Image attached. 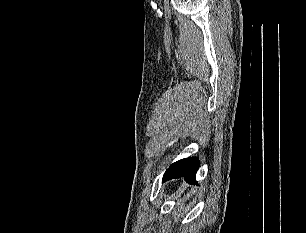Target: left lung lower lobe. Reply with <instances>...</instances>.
I'll use <instances>...</instances> for the list:
<instances>
[{"mask_svg":"<svg viewBox=\"0 0 306 233\" xmlns=\"http://www.w3.org/2000/svg\"><path fill=\"white\" fill-rule=\"evenodd\" d=\"M197 158H186L173 163L165 172L163 181L184 177L188 183L196 184V172L199 167Z\"/></svg>","mask_w":306,"mask_h":233,"instance_id":"0a47b994","label":"left lung lower lobe"}]
</instances>
